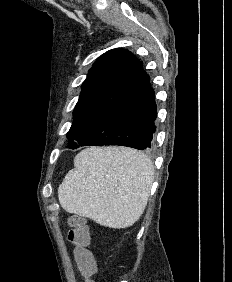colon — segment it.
Listing matches in <instances>:
<instances>
[{"mask_svg": "<svg viewBox=\"0 0 232 282\" xmlns=\"http://www.w3.org/2000/svg\"><path fill=\"white\" fill-rule=\"evenodd\" d=\"M69 225L67 239L74 246L75 258L82 273L86 277H90L95 272V262L88 249L90 233L86 220L79 216H73L69 220Z\"/></svg>", "mask_w": 232, "mask_h": 282, "instance_id": "1", "label": "colon"}]
</instances>
